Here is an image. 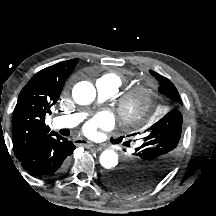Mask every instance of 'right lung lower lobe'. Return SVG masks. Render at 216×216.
I'll use <instances>...</instances> for the list:
<instances>
[{"label":"right lung lower lobe","instance_id":"98d812e1","mask_svg":"<svg viewBox=\"0 0 216 216\" xmlns=\"http://www.w3.org/2000/svg\"><path fill=\"white\" fill-rule=\"evenodd\" d=\"M75 148L72 142L55 133L37 145L20 161L30 174L40 178H51L60 173L67 157Z\"/></svg>","mask_w":216,"mask_h":216}]
</instances>
